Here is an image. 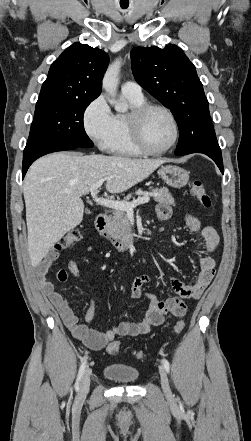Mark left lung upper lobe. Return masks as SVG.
Listing matches in <instances>:
<instances>
[{
  "mask_svg": "<svg viewBox=\"0 0 251 441\" xmlns=\"http://www.w3.org/2000/svg\"><path fill=\"white\" fill-rule=\"evenodd\" d=\"M131 66L139 85L171 110L179 130L199 119H210L195 66L178 46L135 47Z\"/></svg>",
  "mask_w": 251,
  "mask_h": 441,
  "instance_id": "left-lung-upper-lobe-1",
  "label": "left lung upper lobe"
}]
</instances>
